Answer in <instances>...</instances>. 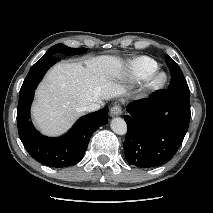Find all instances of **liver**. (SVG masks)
Returning a JSON list of instances; mask_svg holds the SVG:
<instances>
[{
    "label": "liver",
    "mask_w": 213,
    "mask_h": 213,
    "mask_svg": "<svg viewBox=\"0 0 213 213\" xmlns=\"http://www.w3.org/2000/svg\"><path fill=\"white\" fill-rule=\"evenodd\" d=\"M120 57L98 56L82 63H60L45 76L36 91L32 115L37 127L46 135L66 132L84 114L82 107L91 102L123 95L126 86Z\"/></svg>",
    "instance_id": "6515ba94"
}]
</instances>
